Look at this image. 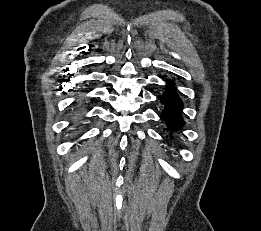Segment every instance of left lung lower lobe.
<instances>
[{"mask_svg":"<svg viewBox=\"0 0 261 231\" xmlns=\"http://www.w3.org/2000/svg\"><path fill=\"white\" fill-rule=\"evenodd\" d=\"M165 89L166 91L159 96L163 105L161 119L165 122L164 130L169 133L167 138L172 140L173 135L181 130L185 124L182 111L183 104L171 80H167Z\"/></svg>","mask_w":261,"mask_h":231,"instance_id":"left-lung-lower-lobe-1","label":"left lung lower lobe"}]
</instances>
